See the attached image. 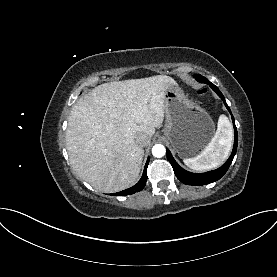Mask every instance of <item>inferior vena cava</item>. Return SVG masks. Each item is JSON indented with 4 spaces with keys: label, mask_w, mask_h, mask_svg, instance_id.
<instances>
[{
    "label": "inferior vena cava",
    "mask_w": 277,
    "mask_h": 277,
    "mask_svg": "<svg viewBox=\"0 0 277 277\" xmlns=\"http://www.w3.org/2000/svg\"><path fill=\"white\" fill-rule=\"evenodd\" d=\"M135 141L137 144H139L142 147L146 146L149 143V139H148L147 135L144 133H138L135 136Z\"/></svg>",
    "instance_id": "obj_1"
}]
</instances>
